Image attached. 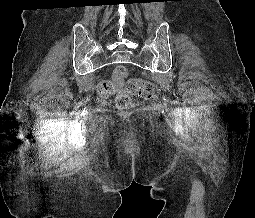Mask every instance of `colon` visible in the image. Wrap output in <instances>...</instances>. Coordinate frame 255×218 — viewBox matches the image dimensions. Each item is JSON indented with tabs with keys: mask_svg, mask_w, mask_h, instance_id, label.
Listing matches in <instances>:
<instances>
[{
	"mask_svg": "<svg viewBox=\"0 0 255 218\" xmlns=\"http://www.w3.org/2000/svg\"><path fill=\"white\" fill-rule=\"evenodd\" d=\"M129 75L126 66H117L113 73V81L101 82L98 87V92L102 96H108L117 93L115 104L119 109H128L132 106L133 101L131 96L136 94L145 99H152L154 96V86L150 81L142 78H131L126 84L125 91H120L119 83Z\"/></svg>",
	"mask_w": 255,
	"mask_h": 218,
	"instance_id": "colon-1",
	"label": "colon"
}]
</instances>
